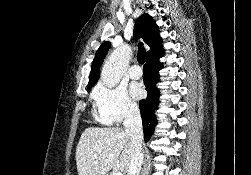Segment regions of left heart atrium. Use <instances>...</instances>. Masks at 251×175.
I'll use <instances>...</instances> for the list:
<instances>
[{
	"label": "left heart atrium",
	"mask_w": 251,
	"mask_h": 175,
	"mask_svg": "<svg viewBox=\"0 0 251 175\" xmlns=\"http://www.w3.org/2000/svg\"><path fill=\"white\" fill-rule=\"evenodd\" d=\"M130 92L135 97H140L143 94V89L137 83L130 85Z\"/></svg>",
	"instance_id": "obj_1"
}]
</instances>
